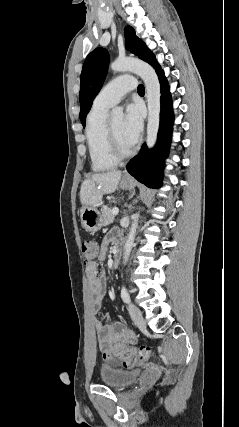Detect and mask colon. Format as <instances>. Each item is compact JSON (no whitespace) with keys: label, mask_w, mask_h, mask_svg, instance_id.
Listing matches in <instances>:
<instances>
[{"label":"colon","mask_w":239,"mask_h":427,"mask_svg":"<svg viewBox=\"0 0 239 427\" xmlns=\"http://www.w3.org/2000/svg\"><path fill=\"white\" fill-rule=\"evenodd\" d=\"M82 253L87 263L92 262L98 253V244L94 240L82 243ZM114 354L126 367H133L148 362L154 355L151 348L147 346L130 347L123 344L114 346Z\"/></svg>","instance_id":"obj_1"}]
</instances>
